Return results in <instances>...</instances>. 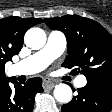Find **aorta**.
Masks as SVG:
<instances>
[{
	"label": "aorta",
	"instance_id": "aorta-1",
	"mask_svg": "<svg viewBox=\"0 0 112 112\" xmlns=\"http://www.w3.org/2000/svg\"><path fill=\"white\" fill-rule=\"evenodd\" d=\"M46 33L40 28H30L24 36V41L27 47L38 50L46 43ZM55 99L63 104L69 103L72 99V90L69 85L60 83L54 89Z\"/></svg>",
	"mask_w": 112,
	"mask_h": 112
}]
</instances>
